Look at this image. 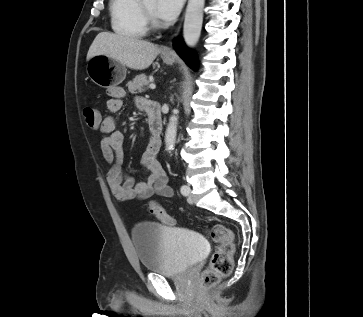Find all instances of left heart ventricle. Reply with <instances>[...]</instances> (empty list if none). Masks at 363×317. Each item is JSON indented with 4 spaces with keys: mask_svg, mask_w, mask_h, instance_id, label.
Here are the masks:
<instances>
[{
    "mask_svg": "<svg viewBox=\"0 0 363 317\" xmlns=\"http://www.w3.org/2000/svg\"><path fill=\"white\" fill-rule=\"evenodd\" d=\"M145 7L156 17V0H144Z\"/></svg>",
    "mask_w": 363,
    "mask_h": 317,
    "instance_id": "1",
    "label": "left heart ventricle"
}]
</instances>
